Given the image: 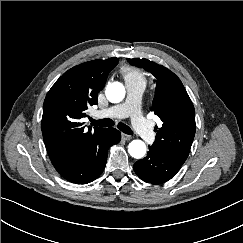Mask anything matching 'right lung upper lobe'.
I'll list each match as a JSON object with an SVG mask.
<instances>
[{
  "label": "right lung upper lobe",
  "mask_w": 243,
  "mask_h": 243,
  "mask_svg": "<svg viewBox=\"0 0 243 243\" xmlns=\"http://www.w3.org/2000/svg\"><path fill=\"white\" fill-rule=\"evenodd\" d=\"M118 58L93 60L66 71L52 86L43 104L42 134L49 156L81 154L97 142L106 128L85 129L79 120L97 104L109 72Z\"/></svg>",
  "instance_id": "right-lung-upper-lobe-1"
}]
</instances>
